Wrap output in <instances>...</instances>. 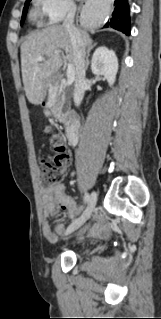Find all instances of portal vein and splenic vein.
<instances>
[{"label": "portal vein and splenic vein", "instance_id": "18ae733b", "mask_svg": "<svg viewBox=\"0 0 161 319\" xmlns=\"http://www.w3.org/2000/svg\"><path fill=\"white\" fill-rule=\"evenodd\" d=\"M38 61H42L43 57L42 56H38L37 57ZM65 60V57H64ZM74 77H75V69L74 66L72 64H68L67 65V85H71L74 81Z\"/></svg>", "mask_w": 161, "mask_h": 319}]
</instances>
